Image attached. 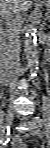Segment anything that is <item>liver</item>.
<instances>
[{
	"instance_id": "liver-1",
	"label": "liver",
	"mask_w": 50,
	"mask_h": 148,
	"mask_svg": "<svg viewBox=\"0 0 50 148\" xmlns=\"http://www.w3.org/2000/svg\"><path fill=\"white\" fill-rule=\"evenodd\" d=\"M30 0H1L0 13L2 15L4 10L18 9L20 12L26 11L29 8Z\"/></svg>"
}]
</instances>
